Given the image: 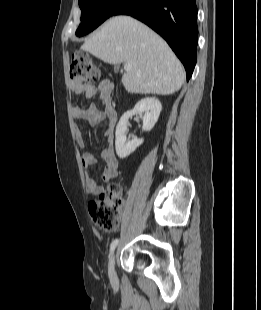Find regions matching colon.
<instances>
[{
    "mask_svg": "<svg viewBox=\"0 0 261 310\" xmlns=\"http://www.w3.org/2000/svg\"><path fill=\"white\" fill-rule=\"evenodd\" d=\"M70 79L74 86H90L99 79V70L92 57L75 53L70 64ZM123 198L118 184H110L98 197L90 200L89 213L95 225L104 231H115L121 220Z\"/></svg>",
    "mask_w": 261,
    "mask_h": 310,
    "instance_id": "obj_1",
    "label": "colon"
}]
</instances>
